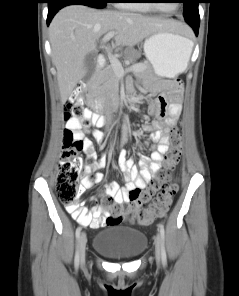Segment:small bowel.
Wrapping results in <instances>:
<instances>
[{
  "mask_svg": "<svg viewBox=\"0 0 239 296\" xmlns=\"http://www.w3.org/2000/svg\"><path fill=\"white\" fill-rule=\"evenodd\" d=\"M171 87L170 104L167 105V99L164 95L158 97L149 108V114L155 116L156 119L152 123L142 126L144 132L150 133V140L158 142L157 147L152 151L150 157L141 156L138 163H135L133 159H126V153L124 151L119 154L118 164L120 170L124 173L126 186L121 188L116 182L106 184V194L113 198L118 204L132 201L134 193L148 186L154 174L163 169L165 154L169 150V134L176 126L181 112V84L176 81ZM85 117L91 119L94 123L99 119L98 115L93 114L89 110H86ZM68 127L76 136L84 138L85 132L80 130L76 121L68 122ZM91 133L96 140H102L103 135L99 130L94 129ZM83 140L85 144V154L88 157L94 158L95 152L89 151V149H93L92 141L88 138H84ZM101 166L102 163L93 162L87 167V173H94L96 179L92 181L89 179V176L85 175L81 182L82 191L91 189L95 183L103 181V173L99 171ZM67 210L71 213L68 208ZM85 213L88 215L87 220L77 219L82 225L90 226L94 229L106 225L105 221L108 216L106 211H101L99 208L93 206L88 213ZM71 215L73 216L72 213Z\"/></svg>",
  "mask_w": 239,
  "mask_h": 296,
  "instance_id": "small-bowel-1",
  "label": "small bowel"
}]
</instances>
